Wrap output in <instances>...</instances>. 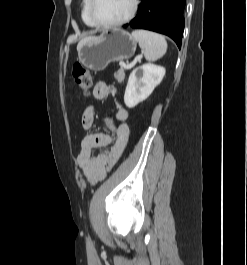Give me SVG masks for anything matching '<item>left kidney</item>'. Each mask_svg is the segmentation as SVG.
<instances>
[{
  "instance_id": "obj_1",
  "label": "left kidney",
  "mask_w": 247,
  "mask_h": 265,
  "mask_svg": "<svg viewBox=\"0 0 247 265\" xmlns=\"http://www.w3.org/2000/svg\"><path fill=\"white\" fill-rule=\"evenodd\" d=\"M165 75V68L153 63L137 67L129 76L124 94V103L133 108L146 100Z\"/></svg>"
}]
</instances>
